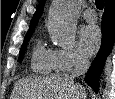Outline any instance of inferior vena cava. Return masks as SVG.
<instances>
[{
  "label": "inferior vena cava",
  "mask_w": 115,
  "mask_h": 99,
  "mask_svg": "<svg viewBox=\"0 0 115 99\" xmlns=\"http://www.w3.org/2000/svg\"><path fill=\"white\" fill-rule=\"evenodd\" d=\"M89 68V59L86 56L80 55L76 58L75 68L72 71L71 77L75 78L87 72Z\"/></svg>",
  "instance_id": "inferior-vena-cava-1"
}]
</instances>
